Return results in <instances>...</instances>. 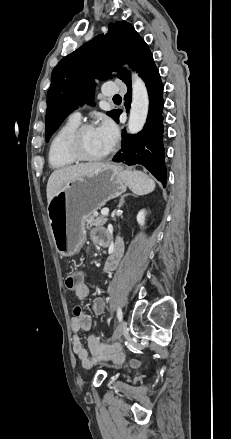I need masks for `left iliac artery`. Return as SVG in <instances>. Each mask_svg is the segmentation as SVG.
<instances>
[{"instance_id": "44dca946", "label": "left iliac artery", "mask_w": 231, "mask_h": 439, "mask_svg": "<svg viewBox=\"0 0 231 439\" xmlns=\"http://www.w3.org/2000/svg\"><path fill=\"white\" fill-rule=\"evenodd\" d=\"M122 316H123L122 309L120 307H118L117 308V318L119 321L122 320Z\"/></svg>"}]
</instances>
